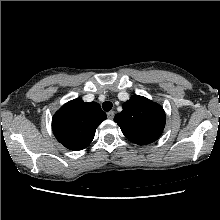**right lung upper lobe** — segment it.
<instances>
[{"instance_id": "obj_1", "label": "right lung upper lobe", "mask_w": 220, "mask_h": 220, "mask_svg": "<svg viewBox=\"0 0 220 220\" xmlns=\"http://www.w3.org/2000/svg\"><path fill=\"white\" fill-rule=\"evenodd\" d=\"M96 102L77 98L64 104L52 119L56 139L70 150H82L92 142L96 128L106 119Z\"/></svg>"}]
</instances>
